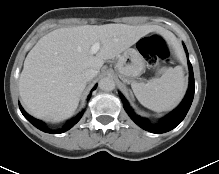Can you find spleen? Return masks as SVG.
I'll list each match as a JSON object with an SVG mask.
<instances>
[{
	"instance_id": "3e777b00",
	"label": "spleen",
	"mask_w": 219,
	"mask_h": 174,
	"mask_svg": "<svg viewBox=\"0 0 219 174\" xmlns=\"http://www.w3.org/2000/svg\"><path fill=\"white\" fill-rule=\"evenodd\" d=\"M132 90L138 101L156 112L173 108L183 97L185 91L184 72L181 66L163 70L161 77L147 83L133 82Z\"/></svg>"
}]
</instances>
